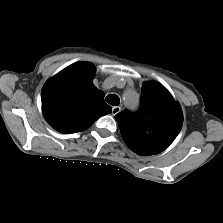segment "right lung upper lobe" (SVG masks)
<instances>
[{"mask_svg": "<svg viewBox=\"0 0 223 223\" xmlns=\"http://www.w3.org/2000/svg\"><path fill=\"white\" fill-rule=\"evenodd\" d=\"M95 68L88 62L74 63L51 78L42 90V111L57 131L70 134L90 127L111 113L104 94L93 85Z\"/></svg>", "mask_w": 223, "mask_h": 223, "instance_id": "obj_1", "label": "right lung upper lobe"}]
</instances>
